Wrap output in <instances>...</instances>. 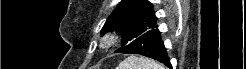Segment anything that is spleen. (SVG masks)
Here are the masks:
<instances>
[{"label":"spleen","instance_id":"3e777b00","mask_svg":"<svg viewBox=\"0 0 246 69\" xmlns=\"http://www.w3.org/2000/svg\"><path fill=\"white\" fill-rule=\"evenodd\" d=\"M117 69H165L155 61L131 55L124 59Z\"/></svg>","mask_w":246,"mask_h":69}]
</instances>
